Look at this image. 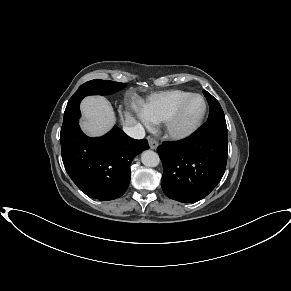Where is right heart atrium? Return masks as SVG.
I'll list each match as a JSON object with an SVG mask.
<instances>
[{
	"instance_id": "d8ad5b80",
	"label": "right heart atrium",
	"mask_w": 291,
	"mask_h": 291,
	"mask_svg": "<svg viewBox=\"0 0 291 291\" xmlns=\"http://www.w3.org/2000/svg\"><path fill=\"white\" fill-rule=\"evenodd\" d=\"M139 116H140V118L143 119L144 121L146 120V119L144 118V116L142 115V113H140Z\"/></svg>"
}]
</instances>
